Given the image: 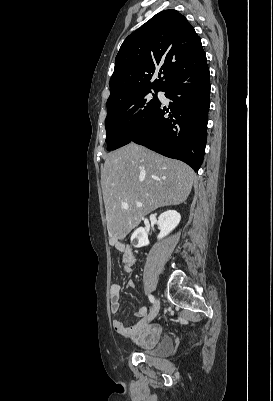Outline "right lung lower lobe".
<instances>
[{
  "label": "right lung lower lobe",
  "mask_w": 273,
  "mask_h": 401,
  "mask_svg": "<svg viewBox=\"0 0 273 401\" xmlns=\"http://www.w3.org/2000/svg\"><path fill=\"white\" fill-rule=\"evenodd\" d=\"M161 91L173 102L161 105L131 142L179 159L197 171L204 158L210 101L209 68L204 62L177 71ZM169 113L170 118L165 115Z\"/></svg>",
  "instance_id": "obj_1"
}]
</instances>
